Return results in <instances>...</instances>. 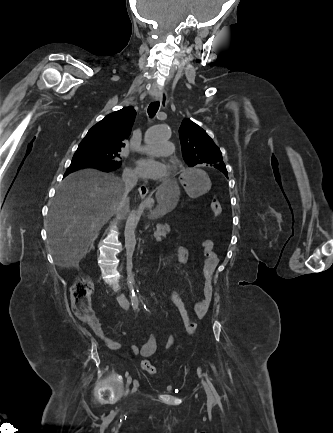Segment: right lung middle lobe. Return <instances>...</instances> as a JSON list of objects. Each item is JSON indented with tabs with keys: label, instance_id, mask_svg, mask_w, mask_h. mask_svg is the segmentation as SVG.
I'll return each instance as SVG.
<instances>
[{
	"label": "right lung middle lobe",
	"instance_id": "right-lung-middle-lobe-1",
	"mask_svg": "<svg viewBox=\"0 0 333 433\" xmlns=\"http://www.w3.org/2000/svg\"><path fill=\"white\" fill-rule=\"evenodd\" d=\"M117 148H101L90 141H82L74 154L72 161H91L118 168L121 166V157Z\"/></svg>",
	"mask_w": 333,
	"mask_h": 433
}]
</instances>
